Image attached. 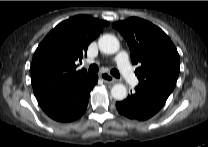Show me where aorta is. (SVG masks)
<instances>
[{
  "mask_svg": "<svg viewBox=\"0 0 208 147\" xmlns=\"http://www.w3.org/2000/svg\"><path fill=\"white\" fill-rule=\"evenodd\" d=\"M98 47L105 54H115L119 51L120 43L111 34H104L98 40ZM111 95L116 100H124L127 97V89L123 84H115L111 89Z\"/></svg>",
  "mask_w": 208,
  "mask_h": 147,
  "instance_id": "762f6f07",
  "label": "aorta"
}]
</instances>
